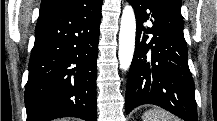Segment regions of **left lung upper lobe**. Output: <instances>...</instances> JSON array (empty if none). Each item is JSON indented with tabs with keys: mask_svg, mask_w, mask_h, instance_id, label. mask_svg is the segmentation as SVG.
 <instances>
[{
	"mask_svg": "<svg viewBox=\"0 0 217 121\" xmlns=\"http://www.w3.org/2000/svg\"><path fill=\"white\" fill-rule=\"evenodd\" d=\"M172 3H174L176 6L181 8V0H170Z\"/></svg>",
	"mask_w": 217,
	"mask_h": 121,
	"instance_id": "5c2ea615",
	"label": "left lung upper lobe"
}]
</instances>
